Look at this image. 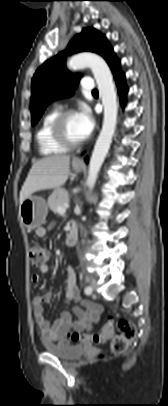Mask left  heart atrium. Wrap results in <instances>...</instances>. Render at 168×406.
Masks as SVG:
<instances>
[{"mask_svg":"<svg viewBox=\"0 0 168 406\" xmlns=\"http://www.w3.org/2000/svg\"><path fill=\"white\" fill-rule=\"evenodd\" d=\"M77 120L84 138H87L94 129V119L86 107H82L77 113Z\"/></svg>","mask_w":168,"mask_h":406,"instance_id":"obj_1","label":"left heart atrium"}]
</instances>
